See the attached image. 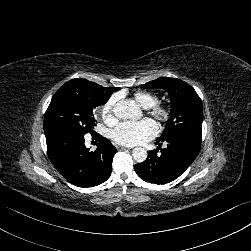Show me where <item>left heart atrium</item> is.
Here are the masks:
<instances>
[{
    "label": "left heart atrium",
    "mask_w": 251,
    "mask_h": 251,
    "mask_svg": "<svg viewBox=\"0 0 251 251\" xmlns=\"http://www.w3.org/2000/svg\"><path fill=\"white\" fill-rule=\"evenodd\" d=\"M157 133L158 127L151 119L140 122L125 121L112 131V139L119 145L134 146L154 138Z\"/></svg>",
    "instance_id": "1"
}]
</instances>
